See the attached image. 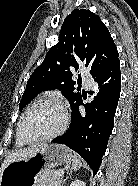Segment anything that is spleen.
<instances>
[{
	"instance_id": "obj_1",
	"label": "spleen",
	"mask_w": 138,
	"mask_h": 186,
	"mask_svg": "<svg viewBox=\"0 0 138 186\" xmlns=\"http://www.w3.org/2000/svg\"><path fill=\"white\" fill-rule=\"evenodd\" d=\"M82 166V162H81V158L79 155H77L76 153H74L72 155V169L74 171L80 169Z\"/></svg>"
}]
</instances>
